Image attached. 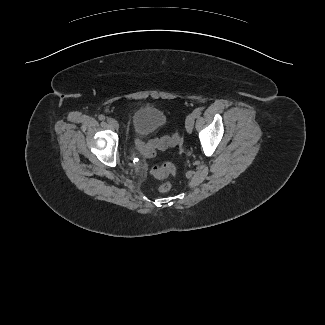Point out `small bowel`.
Returning <instances> with one entry per match:
<instances>
[{
	"label": "small bowel",
	"mask_w": 325,
	"mask_h": 325,
	"mask_svg": "<svg viewBox=\"0 0 325 325\" xmlns=\"http://www.w3.org/2000/svg\"><path fill=\"white\" fill-rule=\"evenodd\" d=\"M136 146H137V148L140 149V150L143 149L142 144H141L140 142H137V143H136Z\"/></svg>",
	"instance_id": "small-bowel-1"
}]
</instances>
